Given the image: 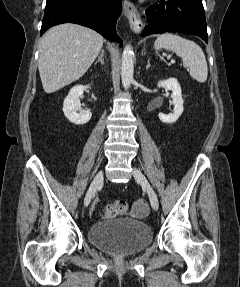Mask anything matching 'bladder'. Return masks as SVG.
<instances>
[{
	"instance_id": "1",
	"label": "bladder",
	"mask_w": 240,
	"mask_h": 287,
	"mask_svg": "<svg viewBox=\"0 0 240 287\" xmlns=\"http://www.w3.org/2000/svg\"><path fill=\"white\" fill-rule=\"evenodd\" d=\"M88 241L107 253L126 256L139 253L151 244L153 231L141 221L121 218L99 222L89 227Z\"/></svg>"
}]
</instances>
